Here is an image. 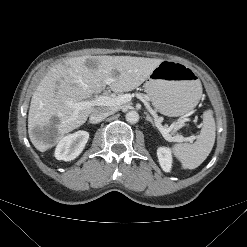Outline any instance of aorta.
<instances>
[{
	"label": "aorta",
	"mask_w": 247,
	"mask_h": 247,
	"mask_svg": "<svg viewBox=\"0 0 247 247\" xmlns=\"http://www.w3.org/2000/svg\"><path fill=\"white\" fill-rule=\"evenodd\" d=\"M125 119L127 122H129L131 124L137 123L139 121V114H138V112L131 110V111L126 113Z\"/></svg>",
	"instance_id": "obj_1"
}]
</instances>
